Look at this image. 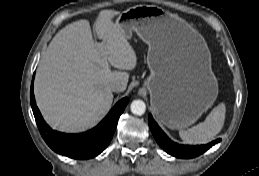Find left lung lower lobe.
Instances as JSON below:
<instances>
[{"label": "left lung lower lobe", "mask_w": 259, "mask_h": 176, "mask_svg": "<svg viewBox=\"0 0 259 176\" xmlns=\"http://www.w3.org/2000/svg\"><path fill=\"white\" fill-rule=\"evenodd\" d=\"M148 123H149L150 130H151L155 140L158 142V144L167 153H169L175 157H178V158L187 159V158H193V157L199 156L221 140V139H217L209 144L200 145V146L179 145V144L171 141L165 135V133L159 128L157 123L153 120L151 115L148 116Z\"/></svg>", "instance_id": "left-lung-lower-lobe-1"}]
</instances>
